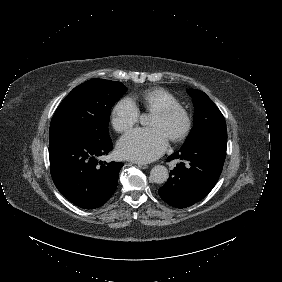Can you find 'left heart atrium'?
Returning <instances> with one entry per match:
<instances>
[{
  "instance_id": "1",
  "label": "left heart atrium",
  "mask_w": 282,
  "mask_h": 282,
  "mask_svg": "<svg viewBox=\"0 0 282 282\" xmlns=\"http://www.w3.org/2000/svg\"><path fill=\"white\" fill-rule=\"evenodd\" d=\"M168 137L159 127L128 131L118 143L123 158L136 162H150L166 149Z\"/></svg>"
}]
</instances>
